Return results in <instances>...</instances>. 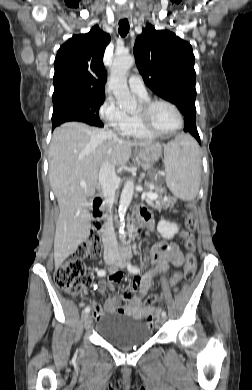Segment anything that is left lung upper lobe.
Instances as JSON below:
<instances>
[{
    "instance_id": "obj_1",
    "label": "left lung upper lobe",
    "mask_w": 252,
    "mask_h": 390,
    "mask_svg": "<svg viewBox=\"0 0 252 390\" xmlns=\"http://www.w3.org/2000/svg\"><path fill=\"white\" fill-rule=\"evenodd\" d=\"M134 55L153 92L175 104L184 116L196 113L195 57L188 42L148 24L135 41Z\"/></svg>"
}]
</instances>
